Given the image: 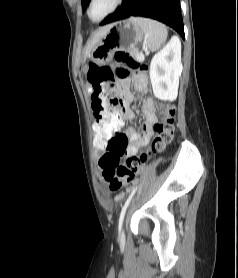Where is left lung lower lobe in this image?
Wrapping results in <instances>:
<instances>
[{"instance_id":"obj_1","label":"left lung lower lobe","mask_w":238,"mask_h":278,"mask_svg":"<svg viewBox=\"0 0 238 278\" xmlns=\"http://www.w3.org/2000/svg\"><path fill=\"white\" fill-rule=\"evenodd\" d=\"M131 16H142L163 22L184 38L180 0H123L119 11L107 16L101 25Z\"/></svg>"}]
</instances>
